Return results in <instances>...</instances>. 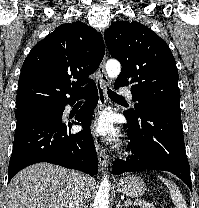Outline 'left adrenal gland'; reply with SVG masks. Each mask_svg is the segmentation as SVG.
I'll return each instance as SVG.
<instances>
[{
  "label": "left adrenal gland",
  "mask_w": 199,
  "mask_h": 208,
  "mask_svg": "<svg viewBox=\"0 0 199 208\" xmlns=\"http://www.w3.org/2000/svg\"><path fill=\"white\" fill-rule=\"evenodd\" d=\"M120 207H121V201L118 200V203H117V205H116V208H120Z\"/></svg>",
  "instance_id": "left-adrenal-gland-1"
}]
</instances>
